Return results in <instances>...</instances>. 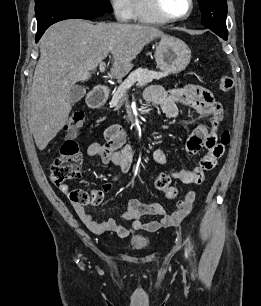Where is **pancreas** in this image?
I'll use <instances>...</instances> for the list:
<instances>
[{"instance_id": "obj_1", "label": "pancreas", "mask_w": 261, "mask_h": 306, "mask_svg": "<svg viewBox=\"0 0 261 306\" xmlns=\"http://www.w3.org/2000/svg\"><path fill=\"white\" fill-rule=\"evenodd\" d=\"M167 75L168 74L165 72H156L150 71L146 68H138L137 70L133 71L113 93L110 104L113 107H116L121 101H125L128 96L127 91L132 85L136 84L137 86L142 87L148 83H151L154 79L159 80Z\"/></svg>"}]
</instances>
